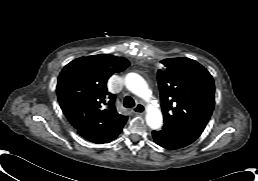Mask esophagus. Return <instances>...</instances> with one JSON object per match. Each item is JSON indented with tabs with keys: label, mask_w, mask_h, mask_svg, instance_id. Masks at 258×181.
<instances>
[{
	"label": "esophagus",
	"mask_w": 258,
	"mask_h": 181,
	"mask_svg": "<svg viewBox=\"0 0 258 181\" xmlns=\"http://www.w3.org/2000/svg\"><path fill=\"white\" fill-rule=\"evenodd\" d=\"M133 112L137 115L143 114L145 112V106L139 103L134 107Z\"/></svg>",
	"instance_id": "obj_1"
}]
</instances>
